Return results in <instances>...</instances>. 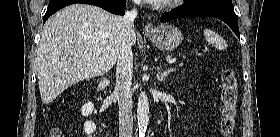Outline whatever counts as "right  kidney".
<instances>
[{
	"label": "right kidney",
	"instance_id": "1",
	"mask_svg": "<svg viewBox=\"0 0 280 137\" xmlns=\"http://www.w3.org/2000/svg\"><path fill=\"white\" fill-rule=\"evenodd\" d=\"M94 105L92 102H88L84 104L81 108V113L83 116H89L93 111ZM96 125L92 121H86L84 123V131L88 136H92L91 134L95 131Z\"/></svg>",
	"mask_w": 280,
	"mask_h": 137
}]
</instances>
